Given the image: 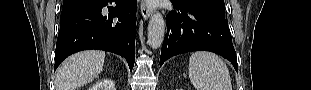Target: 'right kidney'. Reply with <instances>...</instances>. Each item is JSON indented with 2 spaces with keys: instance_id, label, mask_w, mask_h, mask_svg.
<instances>
[{
  "instance_id": "1",
  "label": "right kidney",
  "mask_w": 311,
  "mask_h": 90,
  "mask_svg": "<svg viewBox=\"0 0 311 90\" xmlns=\"http://www.w3.org/2000/svg\"><path fill=\"white\" fill-rule=\"evenodd\" d=\"M89 90H115L114 83L112 80H103L91 86Z\"/></svg>"
}]
</instances>
